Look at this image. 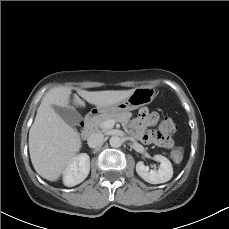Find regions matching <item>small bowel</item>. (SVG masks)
<instances>
[{"label":"small bowel","mask_w":229,"mask_h":229,"mask_svg":"<svg viewBox=\"0 0 229 229\" xmlns=\"http://www.w3.org/2000/svg\"><path fill=\"white\" fill-rule=\"evenodd\" d=\"M159 120V115L156 112L150 111L143 107L139 110L137 117H135L129 124V129L134 137L145 144L154 142V136L147 128L154 126Z\"/></svg>","instance_id":"c3829d8e"}]
</instances>
